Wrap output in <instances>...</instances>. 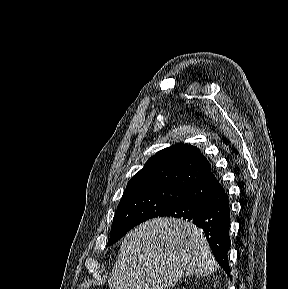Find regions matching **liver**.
Listing matches in <instances>:
<instances>
[{"label": "liver", "mask_w": 288, "mask_h": 289, "mask_svg": "<svg viewBox=\"0 0 288 289\" xmlns=\"http://www.w3.org/2000/svg\"><path fill=\"white\" fill-rule=\"evenodd\" d=\"M216 267L200 228L181 219L158 217L125 236L109 289H168L184 276H207Z\"/></svg>", "instance_id": "1"}]
</instances>
